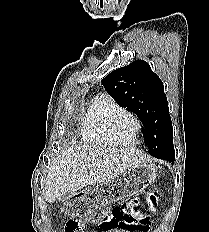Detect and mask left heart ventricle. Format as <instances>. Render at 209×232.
I'll return each instance as SVG.
<instances>
[{
	"label": "left heart ventricle",
	"instance_id": "b2bd125f",
	"mask_svg": "<svg viewBox=\"0 0 209 232\" xmlns=\"http://www.w3.org/2000/svg\"><path fill=\"white\" fill-rule=\"evenodd\" d=\"M135 122L128 115L120 116L113 125L116 139L122 143L129 142L135 131Z\"/></svg>",
	"mask_w": 209,
	"mask_h": 232
}]
</instances>
